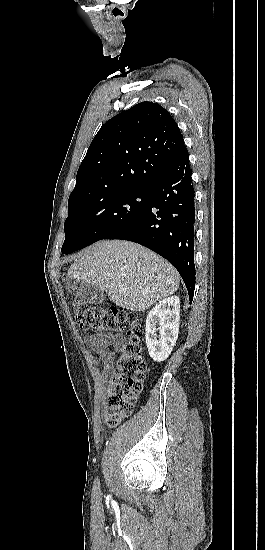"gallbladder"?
<instances>
[{"instance_id": "1", "label": "gallbladder", "mask_w": 265, "mask_h": 550, "mask_svg": "<svg viewBox=\"0 0 265 550\" xmlns=\"http://www.w3.org/2000/svg\"><path fill=\"white\" fill-rule=\"evenodd\" d=\"M65 286L72 295L84 303L99 305L106 299L103 291L88 283H77L75 280L67 278Z\"/></svg>"}]
</instances>
